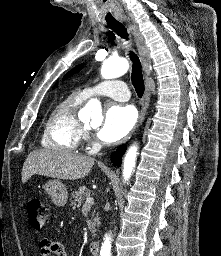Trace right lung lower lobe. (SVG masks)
Wrapping results in <instances>:
<instances>
[{
	"instance_id": "1",
	"label": "right lung lower lobe",
	"mask_w": 221,
	"mask_h": 256,
	"mask_svg": "<svg viewBox=\"0 0 221 256\" xmlns=\"http://www.w3.org/2000/svg\"><path fill=\"white\" fill-rule=\"evenodd\" d=\"M127 146L126 145H121L116 152L112 153L111 155V162L115 165V166H120L121 162H122V155L124 154L125 150H126Z\"/></svg>"
}]
</instances>
